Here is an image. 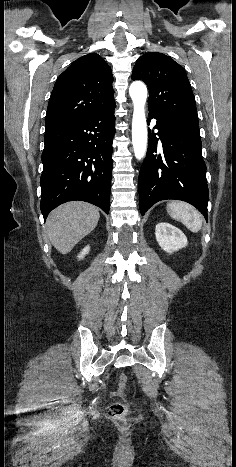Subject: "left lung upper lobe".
<instances>
[{
    "instance_id": "left-lung-upper-lobe-1",
    "label": "left lung upper lobe",
    "mask_w": 236,
    "mask_h": 467,
    "mask_svg": "<svg viewBox=\"0 0 236 467\" xmlns=\"http://www.w3.org/2000/svg\"><path fill=\"white\" fill-rule=\"evenodd\" d=\"M133 80L149 88L148 109L158 114L196 115V103L185 70L162 53L142 55L136 62Z\"/></svg>"
}]
</instances>
